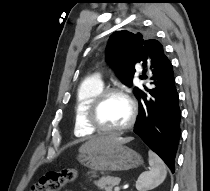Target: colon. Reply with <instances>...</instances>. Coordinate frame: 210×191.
<instances>
[{
    "label": "colon",
    "mask_w": 210,
    "mask_h": 191,
    "mask_svg": "<svg viewBox=\"0 0 210 191\" xmlns=\"http://www.w3.org/2000/svg\"><path fill=\"white\" fill-rule=\"evenodd\" d=\"M76 177L77 171L74 168L49 171L33 185L31 191H60L64 186L72 183Z\"/></svg>",
    "instance_id": "5ec220e1"
}]
</instances>
